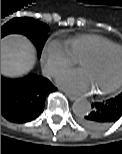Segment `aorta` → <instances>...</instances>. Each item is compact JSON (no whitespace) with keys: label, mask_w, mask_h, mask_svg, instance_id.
I'll list each match as a JSON object with an SVG mask.
<instances>
[{"label":"aorta","mask_w":122,"mask_h":154,"mask_svg":"<svg viewBox=\"0 0 122 154\" xmlns=\"http://www.w3.org/2000/svg\"><path fill=\"white\" fill-rule=\"evenodd\" d=\"M75 115L82 117L90 113L91 104L86 99H77L72 106Z\"/></svg>","instance_id":"obj_1"}]
</instances>
